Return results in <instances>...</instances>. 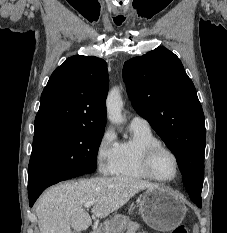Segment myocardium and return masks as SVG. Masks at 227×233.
Wrapping results in <instances>:
<instances>
[{
  "label": "myocardium",
  "instance_id": "obj_1",
  "mask_svg": "<svg viewBox=\"0 0 227 233\" xmlns=\"http://www.w3.org/2000/svg\"><path fill=\"white\" fill-rule=\"evenodd\" d=\"M161 151L169 153L175 162V175L170 179H164L159 177L155 173L153 168L154 158ZM141 165L145 173L149 176V178L163 183H169L176 180L180 174V161L177 154L171 148L161 143L150 145L143 150L141 156Z\"/></svg>",
  "mask_w": 227,
  "mask_h": 233
}]
</instances>
